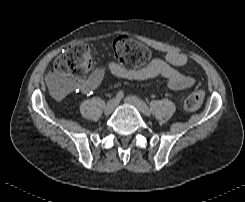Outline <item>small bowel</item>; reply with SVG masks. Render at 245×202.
Wrapping results in <instances>:
<instances>
[{
	"instance_id": "1",
	"label": "small bowel",
	"mask_w": 245,
	"mask_h": 202,
	"mask_svg": "<svg viewBox=\"0 0 245 202\" xmlns=\"http://www.w3.org/2000/svg\"><path fill=\"white\" fill-rule=\"evenodd\" d=\"M184 56L175 50H170L164 59L155 58L146 66L138 69H128L115 60H109L104 68H97L85 80L71 82L70 89H62L63 94H74L83 92L90 94L102 83L107 72L114 76L132 81H144L155 77L163 78L169 89L173 91H184L191 88L194 79L176 68L181 65Z\"/></svg>"
}]
</instances>
